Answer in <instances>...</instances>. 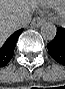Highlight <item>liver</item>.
I'll return each mask as SVG.
<instances>
[{
    "label": "liver",
    "instance_id": "liver-1",
    "mask_svg": "<svg viewBox=\"0 0 65 89\" xmlns=\"http://www.w3.org/2000/svg\"><path fill=\"white\" fill-rule=\"evenodd\" d=\"M34 1L0 0V41L3 42L17 29L16 20L29 15L35 6Z\"/></svg>",
    "mask_w": 65,
    "mask_h": 89
}]
</instances>
